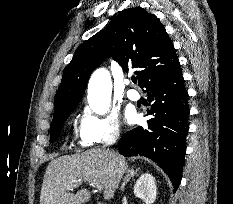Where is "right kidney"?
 Returning a JSON list of instances; mask_svg holds the SVG:
<instances>
[{"label":"right kidney","mask_w":233,"mask_h":204,"mask_svg":"<svg viewBox=\"0 0 233 204\" xmlns=\"http://www.w3.org/2000/svg\"><path fill=\"white\" fill-rule=\"evenodd\" d=\"M134 194L145 204H153L157 195L155 178L149 173L142 174L136 181Z\"/></svg>","instance_id":"1"}]
</instances>
